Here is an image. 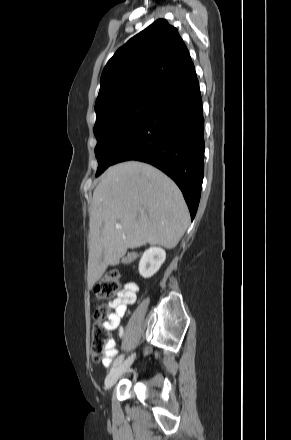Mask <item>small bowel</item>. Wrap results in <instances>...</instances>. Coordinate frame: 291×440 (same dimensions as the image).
I'll return each instance as SVG.
<instances>
[{"instance_id": "small-bowel-1", "label": "small bowel", "mask_w": 291, "mask_h": 440, "mask_svg": "<svg viewBox=\"0 0 291 440\" xmlns=\"http://www.w3.org/2000/svg\"><path fill=\"white\" fill-rule=\"evenodd\" d=\"M139 292V287L134 283H126L123 287V291L120 293L119 297L114 299L111 302V307L113 308V312L110 313L107 317V320L104 321L103 325L108 330L117 329L120 337L124 335V328L120 326L121 320L125 317L128 306L133 304L137 298V294ZM115 340L110 339L107 344L108 354L107 358L103 361V364L108 367L112 358L114 357L115 350Z\"/></svg>"}]
</instances>
